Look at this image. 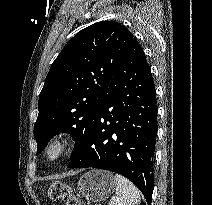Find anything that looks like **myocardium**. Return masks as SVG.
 <instances>
[{
	"label": "myocardium",
	"instance_id": "f54148a6",
	"mask_svg": "<svg viewBox=\"0 0 212 205\" xmlns=\"http://www.w3.org/2000/svg\"><path fill=\"white\" fill-rule=\"evenodd\" d=\"M70 149V140L65 135L53 136L46 145L45 157L51 162L62 159Z\"/></svg>",
	"mask_w": 212,
	"mask_h": 205
}]
</instances>
